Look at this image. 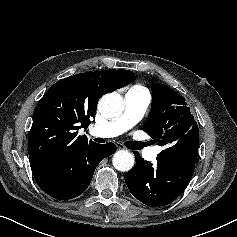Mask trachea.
Returning a JSON list of instances; mask_svg holds the SVG:
<instances>
[{"label":"trachea","mask_w":237,"mask_h":237,"mask_svg":"<svg viewBox=\"0 0 237 237\" xmlns=\"http://www.w3.org/2000/svg\"><path fill=\"white\" fill-rule=\"evenodd\" d=\"M125 145L130 149L139 150V149L143 148L144 146H146V143L132 141V142L125 143Z\"/></svg>","instance_id":"trachea-1"}]
</instances>
